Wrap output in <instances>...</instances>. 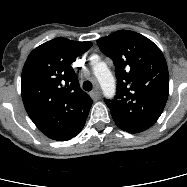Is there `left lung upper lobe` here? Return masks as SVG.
Returning a JSON list of instances; mask_svg holds the SVG:
<instances>
[{
    "mask_svg": "<svg viewBox=\"0 0 187 187\" xmlns=\"http://www.w3.org/2000/svg\"><path fill=\"white\" fill-rule=\"evenodd\" d=\"M97 43L115 65L117 92L106 102L113 120L129 133L147 130L162 114L168 98V68L161 50L129 30H119Z\"/></svg>",
    "mask_w": 187,
    "mask_h": 187,
    "instance_id": "obj_1",
    "label": "left lung upper lobe"
}]
</instances>
